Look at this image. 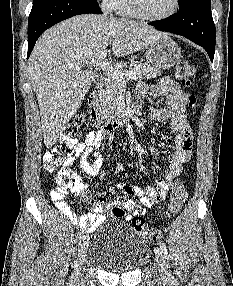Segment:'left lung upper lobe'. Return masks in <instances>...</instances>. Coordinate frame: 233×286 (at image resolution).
<instances>
[{"instance_id":"1","label":"left lung upper lobe","mask_w":233,"mask_h":286,"mask_svg":"<svg viewBox=\"0 0 233 286\" xmlns=\"http://www.w3.org/2000/svg\"><path fill=\"white\" fill-rule=\"evenodd\" d=\"M191 1H193V0H178V2H179V11L184 10L189 5V3Z\"/></svg>"}]
</instances>
